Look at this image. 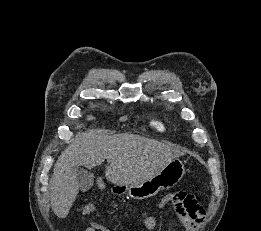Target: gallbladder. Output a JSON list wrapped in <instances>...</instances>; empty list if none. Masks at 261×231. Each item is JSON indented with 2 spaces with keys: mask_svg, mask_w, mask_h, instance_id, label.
<instances>
[{
  "mask_svg": "<svg viewBox=\"0 0 261 231\" xmlns=\"http://www.w3.org/2000/svg\"><path fill=\"white\" fill-rule=\"evenodd\" d=\"M76 179L82 192L88 191L94 183V174L84 168H78L76 171Z\"/></svg>",
  "mask_w": 261,
  "mask_h": 231,
  "instance_id": "bac80fb5",
  "label": "gallbladder"
}]
</instances>
